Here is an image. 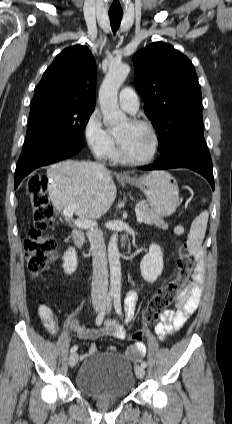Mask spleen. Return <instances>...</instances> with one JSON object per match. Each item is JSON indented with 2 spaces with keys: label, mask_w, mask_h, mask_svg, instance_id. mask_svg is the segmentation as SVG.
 <instances>
[{
  "label": "spleen",
  "mask_w": 232,
  "mask_h": 424,
  "mask_svg": "<svg viewBox=\"0 0 232 424\" xmlns=\"http://www.w3.org/2000/svg\"><path fill=\"white\" fill-rule=\"evenodd\" d=\"M208 217V211H203L192 222L190 233L187 238V248L191 254L196 253L201 248L203 239L205 237Z\"/></svg>",
  "instance_id": "3e777b00"
}]
</instances>
